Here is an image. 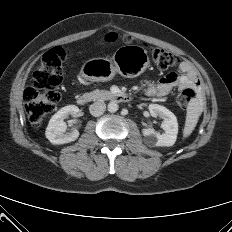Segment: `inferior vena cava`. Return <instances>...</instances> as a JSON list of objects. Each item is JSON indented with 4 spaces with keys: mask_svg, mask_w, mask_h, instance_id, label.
<instances>
[{
    "mask_svg": "<svg viewBox=\"0 0 232 232\" xmlns=\"http://www.w3.org/2000/svg\"><path fill=\"white\" fill-rule=\"evenodd\" d=\"M106 109V104L101 101H96L90 106V113L91 115L98 117L101 116Z\"/></svg>",
    "mask_w": 232,
    "mask_h": 232,
    "instance_id": "1",
    "label": "inferior vena cava"
}]
</instances>
